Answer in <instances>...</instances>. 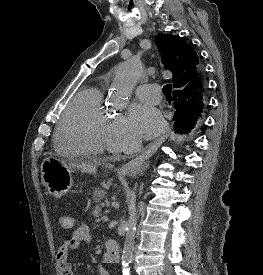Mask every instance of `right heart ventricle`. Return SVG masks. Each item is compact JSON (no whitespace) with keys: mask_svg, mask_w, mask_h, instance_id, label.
Returning a JSON list of instances; mask_svg holds the SVG:
<instances>
[{"mask_svg":"<svg viewBox=\"0 0 263 275\" xmlns=\"http://www.w3.org/2000/svg\"><path fill=\"white\" fill-rule=\"evenodd\" d=\"M109 124L103 108L102 89L86 87L65 109L55 132V147L69 157L98 156L108 143Z\"/></svg>","mask_w":263,"mask_h":275,"instance_id":"e07e8e85","label":"right heart ventricle"}]
</instances>
